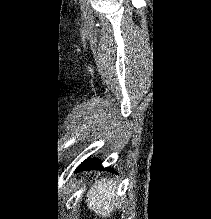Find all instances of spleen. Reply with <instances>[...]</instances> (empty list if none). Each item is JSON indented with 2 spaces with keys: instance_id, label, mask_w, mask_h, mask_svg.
Listing matches in <instances>:
<instances>
[{
  "instance_id": "obj_1",
  "label": "spleen",
  "mask_w": 211,
  "mask_h": 219,
  "mask_svg": "<svg viewBox=\"0 0 211 219\" xmlns=\"http://www.w3.org/2000/svg\"><path fill=\"white\" fill-rule=\"evenodd\" d=\"M116 185L111 180L96 181L87 193V206L99 216H109L116 206Z\"/></svg>"
}]
</instances>
